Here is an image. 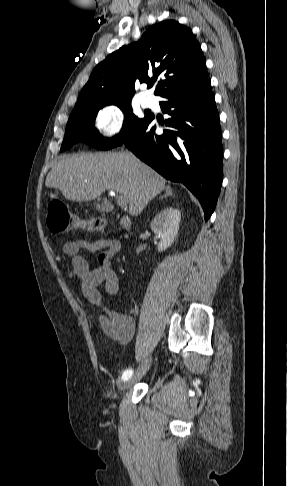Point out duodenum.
I'll use <instances>...</instances> for the list:
<instances>
[{"label":"duodenum","instance_id":"duodenum-1","mask_svg":"<svg viewBox=\"0 0 287 486\" xmlns=\"http://www.w3.org/2000/svg\"><path fill=\"white\" fill-rule=\"evenodd\" d=\"M121 226L124 229H129L131 227V223L127 218L123 217V218H121Z\"/></svg>","mask_w":287,"mask_h":486}]
</instances>
